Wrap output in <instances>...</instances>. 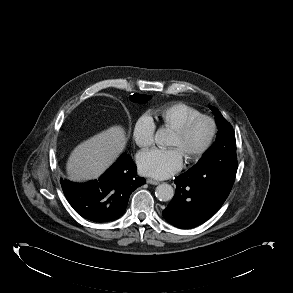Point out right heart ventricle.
Returning a JSON list of instances; mask_svg holds the SVG:
<instances>
[{
	"instance_id": "1",
	"label": "right heart ventricle",
	"mask_w": 293,
	"mask_h": 293,
	"mask_svg": "<svg viewBox=\"0 0 293 293\" xmlns=\"http://www.w3.org/2000/svg\"><path fill=\"white\" fill-rule=\"evenodd\" d=\"M199 115V110L182 102L166 105L157 111L162 124L174 131Z\"/></svg>"
}]
</instances>
